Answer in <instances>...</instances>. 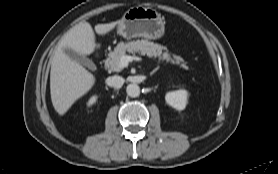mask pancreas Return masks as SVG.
<instances>
[{"instance_id": "cf45deb5", "label": "pancreas", "mask_w": 278, "mask_h": 174, "mask_svg": "<svg viewBox=\"0 0 278 174\" xmlns=\"http://www.w3.org/2000/svg\"><path fill=\"white\" fill-rule=\"evenodd\" d=\"M166 48L160 44L150 42L148 40H134L130 42H120L114 49L110 52L106 60V67L111 71L119 72L122 70L120 65V58L126 53H139L141 55H147L150 58L159 61L166 60L172 64L180 65V67L187 69L188 66L184 60L176 55L169 54L168 52H163Z\"/></svg>"}]
</instances>
